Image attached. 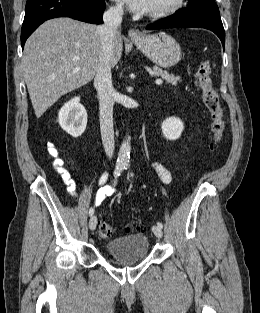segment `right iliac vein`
<instances>
[{
	"label": "right iliac vein",
	"mask_w": 260,
	"mask_h": 313,
	"mask_svg": "<svg viewBox=\"0 0 260 313\" xmlns=\"http://www.w3.org/2000/svg\"><path fill=\"white\" fill-rule=\"evenodd\" d=\"M97 226V218L96 216H92L89 220V228L90 230H94Z\"/></svg>",
	"instance_id": "obj_1"
}]
</instances>
